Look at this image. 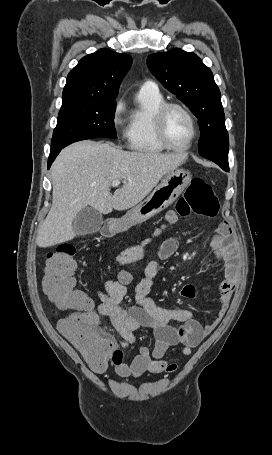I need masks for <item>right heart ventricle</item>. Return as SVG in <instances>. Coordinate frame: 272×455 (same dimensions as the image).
Masks as SVG:
<instances>
[{
    "mask_svg": "<svg viewBox=\"0 0 272 455\" xmlns=\"http://www.w3.org/2000/svg\"><path fill=\"white\" fill-rule=\"evenodd\" d=\"M163 102L164 98L158 90H139L136 106L130 112L126 127V139L131 150L152 154L166 149L158 141L153 124L154 113Z\"/></svg>",
    "mask_w": 272,
    "mask_h": 455,
    "instance_id": "e07e8e85",
    "label": "right heart ventricle"
}]
</instances>
